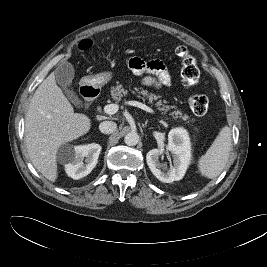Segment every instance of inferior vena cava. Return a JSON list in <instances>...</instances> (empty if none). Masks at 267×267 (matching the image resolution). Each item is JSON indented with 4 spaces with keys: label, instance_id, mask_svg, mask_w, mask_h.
I'll return each mask as SVG.
<instances>
[{
    "label": "inferior vena cava",
    "instance_id": "1",
    "mask_svg": "<svg viewBox=\"0 0 267 267\" xmlns=\"http://www.w3.org/2000/svg\"><path fill=\"white\" fill-rule=\"evenodd\" d=\"M117 128V124L113 121H103L99 125V130L103 134H111L113 133Z\"/></svg>",
    "mask_w": 267,
    "mask_h": 267
}]
</instances>
